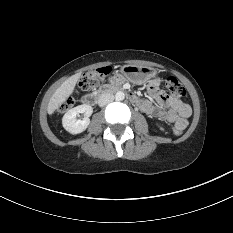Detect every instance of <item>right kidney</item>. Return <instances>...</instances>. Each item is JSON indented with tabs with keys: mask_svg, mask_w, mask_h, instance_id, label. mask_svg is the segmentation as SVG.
I'll return each instance as SVG.
<instances>
[{
	"mask_svg": "<svg viewBox=\"0 0 233 233\" xmlns=\"http://www.w3.org/2000/svg\"><path fill=\"white\" fill-rule=\"evenodd\" d=\"M83 113L84 118L77 120V116ZM93 113V108L90 105L83 104L76 106L65 113L62 119L63 127L71 134H79L86 130L90 124L89 117Z\"/></svg>",
	"mask_w": 233,
	"mask_h": 233,
	"instance_id": "obj_1",
	"label": "right kidney"
}]
</instances>
